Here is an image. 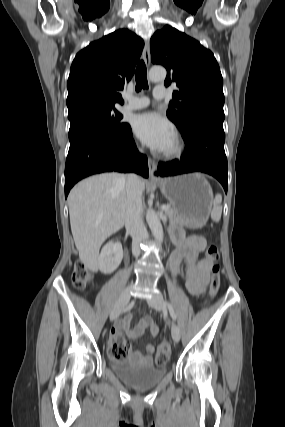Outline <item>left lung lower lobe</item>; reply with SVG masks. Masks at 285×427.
I'll list each match as a JSON object with an SVG mask.
<instances>
[{
	"label": "left lung lower lobe",
	"instance_id": "1",
	"mask_svg": "<svg viewBox=\"0 0 285 427\" xmlns=\"http://www.w3.org/2000/svg\"><path fill=\"white\" fill-rule=\"evenodd\" d=\"M186 150L180 159L159 163L156 175L174 176L204 172L220 181L227 193V158L224 151V130L205 126L184 139Z\"/></svg>",
	"mask_w": 285,
	"mask_h": 427
}]
</instances>
